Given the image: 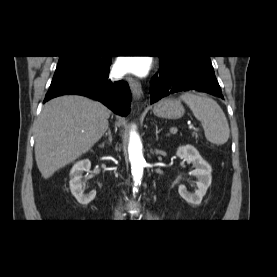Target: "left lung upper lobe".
I'll use <instances>...</instances> for the list:
<instances>
[{
    "label": "left lung upper lobe",
    "instance_id": "1",
    "mask_svg": "<svg viewBox=\"0 0 277 277\" xmlns=\"http://www.w3.org/2000/svg\"><path fill=\"white\" fill-rule=\"evenodd\" d=\"M161 63L180 61L183 63L196 62V63H211L210 56H193V55H178V56H158Z\"/></svg>",
    "mask_w": 277,
    "mask_h": 277
}]
</instances>
